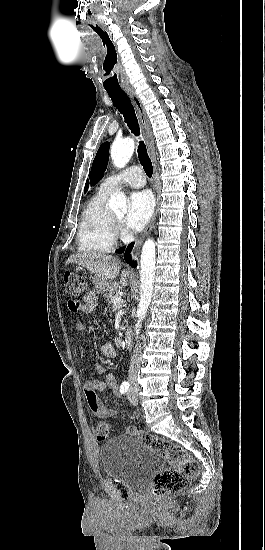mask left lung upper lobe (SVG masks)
<instances>
[{
	"instance_id": "1",
	"label": "left lung upper lobe",
	"mask_w": 265,
	"mask_h": 550,
	"mask_svg": "<svg viewBox=\"0 0 265 550\" xmlns=\"http://www.w3.org/2000/svg\"><path fill=\"white\" fill-rule=\"evenodd\" d=\"M108 155H109V144L107 142L103 143L94 158L92 168H91V184H96L103 176L107 163H108Z\"/></svg>"
}]
</instances>
